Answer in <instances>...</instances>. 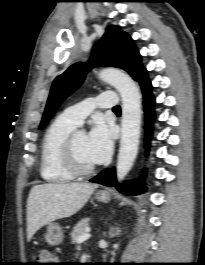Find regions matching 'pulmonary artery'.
Returning <instances> with one entry per match:
<instances>
[{
  "label": "pulmonary artery",
  "instance_id": "obj_1",
  "mask_svg": "<svg viewBox=\"0 0 205 265\" xmlns=\"http://www.w3.org/2000/svg\"><path fill=\"white\" fill-rule=\"evenodd\" d=\"M118 102V97L115 92L105 91L94 98L86 99L78 104L68 107L62 115L75 125L79 126L95 108H114L118 105Z\"/></svg>",
  "mask_w": 205,
  "mask_h": 265
}]
</instances>
